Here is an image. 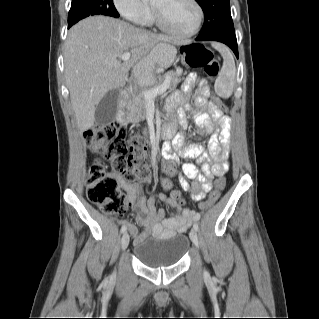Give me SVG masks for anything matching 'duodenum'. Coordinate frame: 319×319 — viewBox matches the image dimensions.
<instances>
[{"instance_id": "obj_1", "label": "duodenum", "mask_w": 319, "mask_h": 319, "mask_svg": "<svg viewBox=\"0 0 319 319\" xmlns=\"http://www.w3.org/2000/svg\"><path fill=\"white\" fill-rule=\"evenodd\" d=\"M129 104V95L126 90H124L120 96L119 101L116 105V121L121 124L127 123V116H126V107ZM175 126L174 124H170L168 126L163 127L161 131H158L157 129L153 128L149 130L148 135L156 136V135H162L165 137H171L174 134Z\"/></svg>"}]
</instances>
